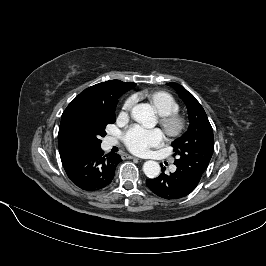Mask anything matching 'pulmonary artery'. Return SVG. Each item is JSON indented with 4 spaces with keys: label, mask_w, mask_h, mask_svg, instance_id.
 <instances>
[{
    "label": "pulmonary artery",
    "mask_w": 266,
    "mask_h": 266,
    "mask_svg": "<svg viewBox=\"0 0 266 266\" xmlns=\"http://www.w3.org/2000/svg\"><path fill=\"white\" fill-rule=\"evenodd\" d=\"M116 142H117V141H116L114 138H108V139H107V145H108V146H113V145L116 144ZM172 170H175V167H174V166L172 167Z\"/></svg>",
    "instance_id": "pulmonary-artery-1"
}]
</instances>
